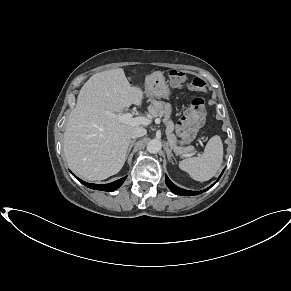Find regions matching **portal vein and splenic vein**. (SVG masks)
<instances>
[{
	"instance_id": "portal-vein-and-splenic-vein-1",
	"label": "portal vein and splenic vein",
	"mask_w": 291,
	"mask_h": 291,
	"mask_svg": "<svg viewBox=\"0 0 291 291\" xmlns=\"http://www.w3.org/2000/svg\"><path fill=\"white\" fill-rule=\"evenodd\" d=\"M106 114L110 117H113V118H117L120 122L122 123H126V124H130V125H133V126H138V125H149L151 123V120L146 118V117H142V116H139V117H135L133 118V115L130 114V113H126V114H114L112 112H109L107 111ZM155 122L157 124H160L161 123V120L159 118H157L155 120ZM194 153H191L190 155H193ZM190 155H187V156H190Z\"/></svg>"
}]
</instances>
